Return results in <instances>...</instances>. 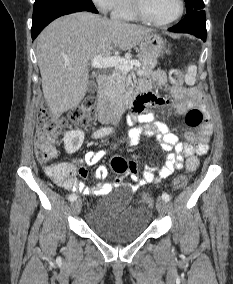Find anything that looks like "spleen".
Segmentation results:
<instances>
[{
	"label": "spleen",
	"instance_id": "1",
	"mask_svg": "<svg viewBox=\"0 0 233 284\" xmlns=\"http://www.w3.org/2000/svg\"><path fill=\"white\" fill-rule=\"evenodd\" d=\"M197 67L195 65H191L188 68L187 75L185 76V81L188 85H194L196 81Z\"/></svg>",
	"mask_w": 233,
	"mask_h": 284
}]
</instances>
